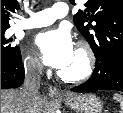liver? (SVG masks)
I'll return each instance as SVG.
<instances>
[{
    "instance_id": "1",
    "label": "liver",
    "mask_w": 123,
    "mask_h": 113,
    "mask_svg": "<svg viewBox=\"0 0 123 113\" xmlns=\"http://www.w3.org/2000/svg\"><path fill=\"white\" fill-rule=\"evenodd\" d=\"M44 101L39 96L31 107L33 113H41ZM25 102L21 90H1V113H26Z\"/></svg>"
}]
</instances>
